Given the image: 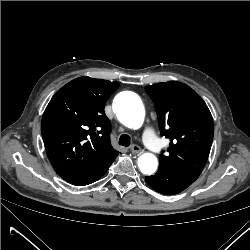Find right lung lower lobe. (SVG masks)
<instances>
[{
    "label": "right lung lower lobe",
    "instance_id": "right-lung-lower-lobe-1",
    "mask_svg": "<svg viewBox=\"0 0 250 250\" xmlns=\"http://www.w3.org/2000/svg\"><path fill=\"white\" fill-rule=\"evenodd\" d=\"M117 155L118 154L108 156L100 163L89 169L74 173H64L60 174L59 176L62 177L68 183L76 186H84L91 184L107 172Z\"/></svg>",
    "mask_w": 250,
    "mask_h": 250
}]
</instances>
